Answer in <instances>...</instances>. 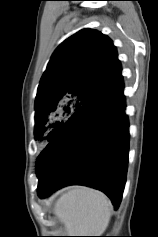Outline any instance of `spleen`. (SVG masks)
Wrapping results in <instances>:
<instances>
[{"instance_id":"obj_1","label":"spleen","mask_w":158,"mask_h":237,"mask_svg":"<svg viewBox=\"0 0 158 237\" xmlns=\"http://www.w3.org/2000/svg\"><path fill=\"white\" fill-rule=\"evenodd\" d=\"M111 212L112 203L105 194L82 186L69 188L54 207L69 236H101Z\"/></svg>"}]
</instances>
